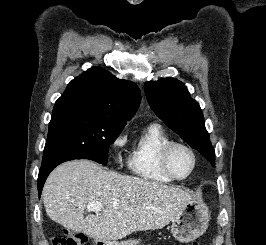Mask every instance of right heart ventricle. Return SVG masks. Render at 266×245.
Wrapping results in <instances>:
<instances>
[{
	"instance_id": "e07e8e85",
	"label": "right heart ventricle",
	"mask_w": 266,
	"mask_h": 245,
	"mask_svg": "<svg viewBox=\"0 0 266 245\" xmlns=\"http://www.w3.org/2000/svg\"><path fill=\"white\" fill-rule=\"evenodd\" d=\"M173 141L165 128L153 122L147 125L131 147L129 168L134 175L153 185L174 182L163 170L160 160L163 147Z\"/></svg>"
}]
</instances>
